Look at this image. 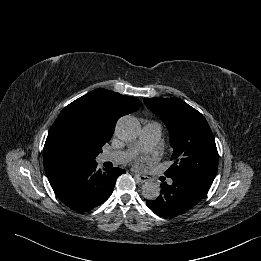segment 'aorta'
<instances>
[{
  "label": "aorta",
  "instance_id": "1",
  "mask_svg": "<svg viewBox=\"0 0 261 261\" xmlns=\"http://www.w3.org/2000/svg\"><path fill=\"white\" fill-rule=\"evenodd\" d=\"M140 131L141 125L133 116H124L120 118L116 126L118 137L125 142H131L137 139ZM141 191L143 197L147 200H155L160 194L159 186L152 181L143 184Z\"/></svg>",
  "mask_w": 261,
  "mask_h": 261
}]
</instances>
